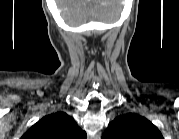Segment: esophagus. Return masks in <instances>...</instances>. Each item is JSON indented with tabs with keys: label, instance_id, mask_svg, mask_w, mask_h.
Wrapping results in <instances>:
<instances>
[{
	"label": "esophagus",
	"instance_id": "obj_1",
	"mask_svg": "<svg viewBox=\"0 0 179 139\" xmlns=\"http://www.w3.org/2000/svg\"><path fill=\"white\" fill-rule=\"evenodd\" d=\"M95 139H100V134H97V135L95 136Z\"/></svg>",
	"mask_w": 179,
	"mask_h": 139
}]
</instances>
